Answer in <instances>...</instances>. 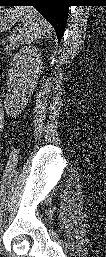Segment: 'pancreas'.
<instances>
[{"instance_id": "1", "label": "pancreas", "mask_w": 106, "mask_h": 257, "mask_svg": "<svg viewBox=\"0 0 106 257\" xmlns=\"http://www.w3.org/2000/svg\"><path fill=\"white\" fill-rule=\"evenodd\" d=\"M18 42H19V38L17 36H11V37H7L6 39H3L1 41V44L4 47L3 50L6 53H10L18 45Z\"/></svg>"}]
</instances>
